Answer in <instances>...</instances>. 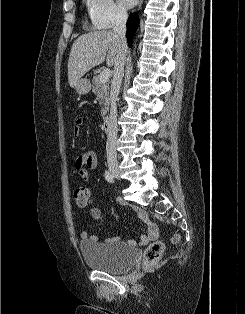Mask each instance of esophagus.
<instances>
[{"instance_id": "obj_1", "label": "esophagus", "mask_w": 245, "mask_h": 314, "mask_svg": "<svg viewBox=\"0 0 245 314\" xmlns=\"http://www.w3.org/2000/svg\"><path fill=\"white\" fill-rule=\"evenodd\" d=\"M142 3H143V0H140L139 3H138V7L136 9V11H139L141 6H142Z\"/></svg>"}]
</instances>
